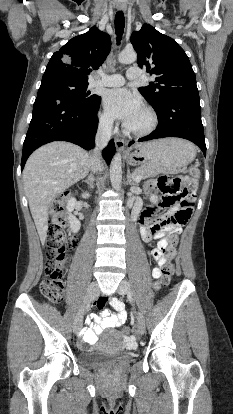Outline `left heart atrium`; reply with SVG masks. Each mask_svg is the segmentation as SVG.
<instances>
[{"instance_id":"left-heart-atrium-1","label":"left heart atrium","mask_w":233,"mask_h":414,"mask_svg":"<svg viewBox=\"0 0 233 414\" xmlns=\"http://www.w3.org/2000/svg\"><path fill=\"white\" fill-rule=\"evenodd\" d=\"M103 105L114 119L129 125L142 111L141 99L125 88L108 90L103 96Z\"/></svg>"}]
</instances>
